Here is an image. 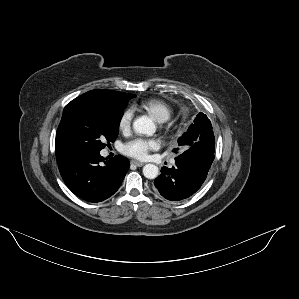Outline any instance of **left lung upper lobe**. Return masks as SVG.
<instances>
[{
    "instance_id": "1",
    "label": "left lung upper lobe",
    "mask_w": 299,
    "mask_h": 299,
    "mask_svg": "<svg viewBox=\"0 0 299 299\" xmlns=\"http://www.w3.org/2000/svg\"><path fill=\"white\" fill-rule=\"evenodd\" d=\"M186 159L200 160L211 166L215 153V137L208 117L200 112L189 129L178 139L173 152Z\"/></svg>"
}]
</instances>
